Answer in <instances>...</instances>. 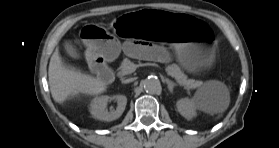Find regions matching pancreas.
I'll return each instance as SVG.
<instances>
[{"instance_id":"1","label":"pancreas","mask_w":279,"mask_h":148,"mask_svg":"<svg viewBox=\"0 0 279 148\" xmlns=\"http://www.w3.org/2000/svg\"><path fill=\"white\" fill-rule=\"evenodd\" d=\"M135 65L133 62H131L129 59L125 58L123 62L121 63V66L119 67L120 72L119 74L121 76L128 75L133 73L131 70L132 66ZM166 72L168 75L172 76L175 78L178 82H190V83H201L199 81H195L192 79H187V76L183 73L181 68L177 64H171L166 67Z\"/></svg>"}]
</instances>
